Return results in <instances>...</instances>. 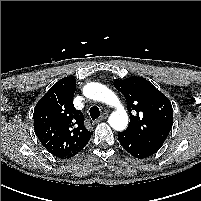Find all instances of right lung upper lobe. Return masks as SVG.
<instances>
[{"mask_svg":"<svg viewBox=\"0 0 201 201\" xmlns=\"http://www.w3.org/2000/svg\"><path fill=\"white\" fill-rule=\"evenodd\" d=\"M74 77H64L53 85L34 108V130L42 145L54 156L70 158L87 144L92 132L84 116L73 105Z\"/></svg>","mask_w":201,"mask_h":201,"instance_id":"cb5924a9","label":"right lung upper lobe"}]
</instances>
